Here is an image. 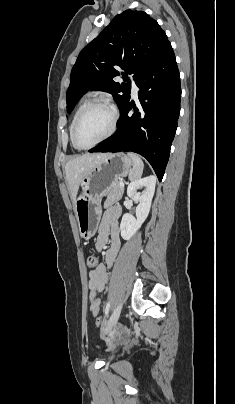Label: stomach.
Listing matches in <instances>:
<instances>
[{"instance_id": "obj_1", "label": "stomach", "mask_w": 235, "mask_h": 404, "mask_svg": "<svg viewBox=\"0 0 235 404\" xmlns=\"http://www.w3.org/2000/svg\"><path fill=\"white\" fill-rule=\"evenodd\" d=\"M132 165L133 161L127 154L110 153L82 179V192L74 203L82 238L89 239L96 234L102 214V197L107 195L114 181L130 173Z\"/></svg>"}]
</instances>
